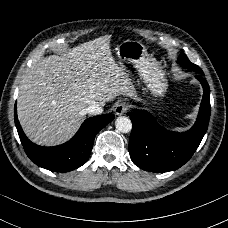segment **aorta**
I'll use <instances>...</instances> for the list:
<instances>
[{
    "label": "aorta",
    "mask_w": 228,
    "mask_h": 228,
    "mask_svg": "<svg viewBox=\"0 0 228 228\" xmlns=\"http://www.w3.org/2000/svg\"><path fill=\"white\" fill-rule=\"evenodd\" d=\"M115 127L119 132L128 133L132 129V123L128 117L120 116L115 121Z\"/></svg>",
    "instance_id": "obj_1"
}]
</instances>
